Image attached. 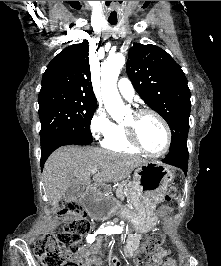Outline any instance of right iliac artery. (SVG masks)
Listing matches in <instances>:
<instances>
[{"label":"right iliac artery","instance_id":"right-iliac-artery-1","mask_svg":"<svg viewBox=\"0 0 221 266\" xmlns=\"http://www.w3.org/2000/svg\"><path fill=\"white\" fill-rule=\"evenodd\" d=\"M106 233H108L106 230H98V231H96V233L93 235V236H88L87 237V240H88V242L89 243H92V242H94L95 241V236L97 235V234H106Z\"/></svg>","mask_w":221,"mask_h":266}]
</instances>
